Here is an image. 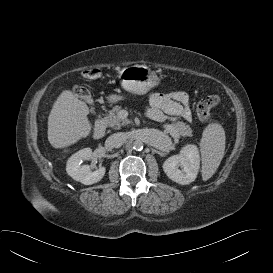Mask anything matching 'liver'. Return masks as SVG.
I'll return each instance as SVG.
<instances>
[{"instance_id":"liver-1","label":"liver","mask_w":273,"mask_h":273,"mask_svg":"<svg viewBox=\"0 0 273 273\" xmlns=\"http://www.w3.org/2000/svg\"><path fill=\"white\" fill-rule=\"evenodd\" d=\"M87 104L71 91H64L55 101L48 117V141L54 148H65L90 134Z\"/></svg>"}]
</instances>
